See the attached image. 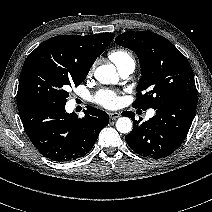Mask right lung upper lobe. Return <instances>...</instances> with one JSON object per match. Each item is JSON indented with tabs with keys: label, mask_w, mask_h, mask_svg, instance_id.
Returning a JSON list of instances; mask_svg holds the SVG:
<instances>
[{
	"label": "right lung upper lobe",
	"mask_w": 212,
	"mask_h": 212,
	"mask_svg": "<svg viewBox=\"0 0 212 212\" xmlns=\"http://www.w3.org/2000/svg\"><path fill=\"white\" fill-rule=\"evenodd\" d=\"M114 36V33H101L52 37L29 54L23 67L34 62H44L70 72L87 75L95 59Z\"/></svg>",
	"instance_id": "cb5924a9"
}]
</instances>
